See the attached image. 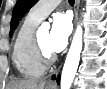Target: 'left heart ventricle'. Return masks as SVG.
I'll return each mask as SVG.
<instances>
[{
	"label": "left heart ventricle",
	"instance_id": "obj_1",
	"mask_svg": "<svg viewBox=\"0 0 107 89\" xmlns=\"http://www.w3.org/2000/svg\"><path fill=\"white\" fill-rule=\"evenodd\" d=\"M49 35H50V32L48 30L41 31V32L38 33V37H39V40H40V43H41L42 47L46 51L51 52L50 49H49V45H48Z\"/></svg>",
	"mask_w": 107,
	"mask_h": 89
}]
</instances>
